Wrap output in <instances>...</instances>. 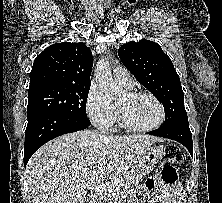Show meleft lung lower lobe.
I'll return each instance as SVG.
<instances>
[{
    "label": "left lung lower lobe",
    "instance_id": "1",
    "mask_svg": "<svg viewBox=\"0 0 222 203\" xmlns=\"http://www.w3.org/2000/svg\"><path fill=\"white\" fill-rule=\"evenodd\" d=\"M146 134L172 139L183 144L193 156L192 134L188 124H172L162 126Z\"/></svg>",
    "mask_w": 222,
    "mask_h": 203
}]
</instances>
